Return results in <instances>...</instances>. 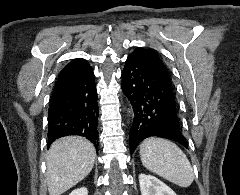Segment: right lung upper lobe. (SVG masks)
<instances>
[{
    "instance_id": "right-lung-upper-lobe-1",
    "label": "right lung upper lobe",
    "mask_w": 240,
    "mask_h": 195,
    "mask_svg": "<svg viewBox=\"0 0 240 195\" xmlns=\"http://www.w3.org/2000/svg\"><path fill=\"white\" fill-rule=\"evenodd\" d=\"M91 67L88 62L82 58H78L67 64L60 72L57 79H69L82 76L89 72Z\"/></svg>"
}]
</instances>
